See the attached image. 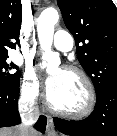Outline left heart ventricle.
Returning <instances> with one entry per match:
<instances>
[{"mask_svg": "<svg viewBox=\"0 0 117 136\" xmlns=\"http://www.w3.org/2000/svg\"><path fill=\"white\" fill-rule=\"evenodd\" d=\"M49 98L51 104L59 109L78 111L87 102V92L82 80L77 75L63 71L60 83L49 92Z\"/></svg>", "mask_w": 117, "mask_h": 136, "instance_id": "left-heart-ventricle-1", "label": "left heart ventricle"}]
</instances>
